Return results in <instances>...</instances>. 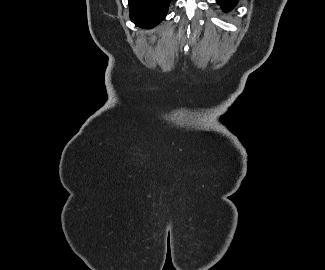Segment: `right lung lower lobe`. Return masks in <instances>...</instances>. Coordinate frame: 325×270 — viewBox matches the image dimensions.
<instances>
[{
	"label": "right lung lower lobe",
	"mask_w": 325,
	"mask_h": 270,
	"mask_svg": "<svg viewBox=\"0 0 325 270\" xmlns=\"http://www.w3.org/2000/svg\"><path fill=\"white\" fill-rule=\"evenodd\" d=\"M171 0H129L132 22L143 28H151L166 16Z\"/></svg>",
	"instance_id": "98d812e1"
}]
</instances>
